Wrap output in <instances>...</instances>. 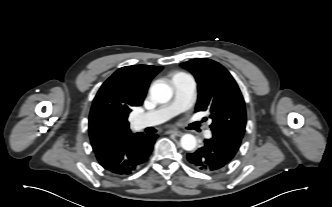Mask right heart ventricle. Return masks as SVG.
Wrapping results in <instances>:
<instances>
[{"label": "right heart ventricle", "mask_w": 332, "mask_h": 207, "mask_svg": "<svg viewBox=\"0 0 332 207\" xmlns=\"http://www.w3.org/2000/svg\"><path fill=\"white\" fill-rule=\"evenodd\" d=\"M182 76H187V74L183 73V72H179V73H176L173 78H172V81L173 79L177 78V77H182Z\"/></svg>", "instance_id": "right-heart-ventricle-1"}]
</instances>
